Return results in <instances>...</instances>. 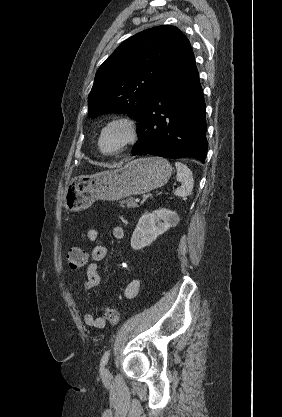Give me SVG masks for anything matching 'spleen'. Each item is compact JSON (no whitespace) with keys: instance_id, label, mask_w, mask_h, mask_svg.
Masks as SVG:
<instances>
[{"instance_id":"obj_1","label":"spleen","mask_w":282,"mask_h":417,"mask_svg":"<svg viewBox=\"0 0 282 417\" xmlns=\"http://www.w3.org/2000/svg\"><path fill=\"white\" fill-rule=\"evenodd\" d=\"M175 166L177 168V180H180L181 186L176 188L174 194L176 196H189L194 184L192 172L183 162H175Z\"/></svg>"}]
</instances>
